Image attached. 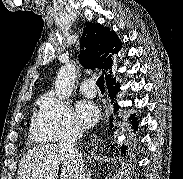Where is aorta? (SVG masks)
<instances>
[{"mask_svg":"<svg viewBox=\"0 0 183 179\" xmlns=\"http://www.w3.org/2000/svg\"><path fill=\"white\" fill-rule=\"evenodd\" d=\"M76 80V66L74 64H67L58 72L55 81V93L61 100H66L71 96Z\"/></svg>","mask_w":183,"mask_h":179,"instance_id":"obj_1","label":"aorta"}]
</instances>
